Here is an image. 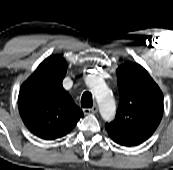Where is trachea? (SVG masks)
Instances as JSON below:
<instances>
[{
  "label": "trachea",
  "mask_w": 173,
  "mask_h": 170,
  "mask_svg": "<svg viewBox=\"0 0 173 170\" xmlns=\"http://www.w3.org/2000/svg\"><path fill=\"white\" fill-rule=\"evenodd\" d=\"M93 105L92 95L90 92L86 91L81 97V106L83 108H91Z\"/></svg>",
  "instance_id": "obj_1"
}]
</instances>
